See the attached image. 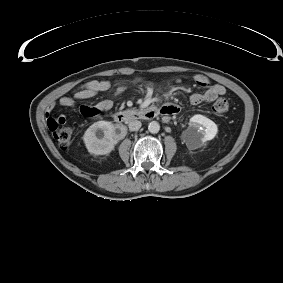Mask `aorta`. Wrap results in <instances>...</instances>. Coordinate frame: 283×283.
I'll return each instance as SVG.
<instances>
[{
	"label": "aorta",
	"instance_id": "1",
	"mask_svg": "<svg viewBox=\"0 0 283 283\" xmlns=\"http://www.w3.org/2000/svg\"><path fill=\"white\" fill-rule=\"evenodd\" d=\"M148 130H149V132L152 133V134L158 133L159 130H160V125H159V123H158L157 121H152V122H150L149 125H148Z\"/></svg>",
	"mask_w": 283,
	"mask_h": 283
}]
</instances>
